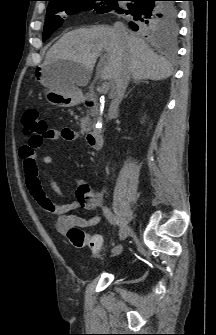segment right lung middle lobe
<instances>
[{
	"instance_id": "obj_1",
	"label": "right lung middle lobe",
	"mask_w": 216,
	"mask_h": 335,
	"mask_svg": "<svg viewBox=\"0 0 216 335\" xmlns=\"http://www.w3.org/2000/svg\"><path fill=\"white\" fill-rule=\"evenodd\" d=\"M118 1L120 0H61L50 3L47 8L48 15L44 25L43 41L63 24V18L59 15L60 12H65L68 15H73L80 10H96L107 13L113 11L119 5ZM166 6L176 8L174 2H166ZM160 30L159 25H153L142 31L157 35H175L177 26L172 29Z\"/></svg>"
}]
</instances>
